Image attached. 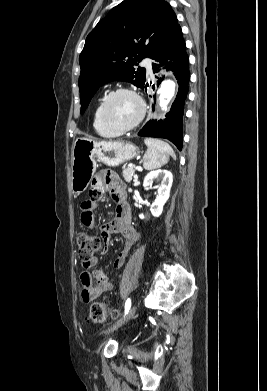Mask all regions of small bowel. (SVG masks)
Returning <instances> with one entry per match:
<instances>
[{"label":"small bowel","mask_w":267,"mask_h":391,"mask_svg":"<svg viewBox=\"0 0 267 391\" xmlns=\"http://www.w3.org/2000/svg\"><path fill=\"white\" fill-rule=\"evenodd\" d=\"M109 195L116 203V216L107 224L100 227L99 233L105 243L102 255L107 252L110 238L113 234H120L124 239V247L114 261V267L121 268L127 258L129 249L138 243L140 234L131 225V209L126 200L124 183L111 170H99L91 183L89 199L81 203V223L84 227L94 228V211L98 200ZM99 259L93 257L88 265H83L80 275L81 295L84 302H91L102 294L111 291L114 284L109 280L104 271L90 268L97 265Z\"/></svg>","instance_id":"1"}]
</instances>
